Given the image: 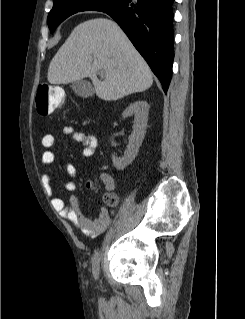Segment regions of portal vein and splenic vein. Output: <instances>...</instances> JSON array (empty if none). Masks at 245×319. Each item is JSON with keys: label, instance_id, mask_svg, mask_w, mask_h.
<instances>
[{"label": "portal vein and splenic vein", "instance_id": "1", "mask_svg": "<svg viewBox=\"0 0 245 319\" xmlns=\"http://www.w3.org/2000/svg\"><path fill=\"white\" fill-rule=\"evenodd\" d=\"M99 75H103L104 74V71L103 70H99Z\"/></svg>", "mask_w": 245, "mask_h": 319}]
</instances>
